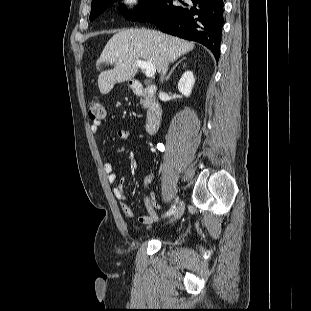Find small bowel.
<instances>
[{
  "label": "small bowel",
  "mask_w": 311,
  "mask_h": 311,
  "mask_svg": "<svg viewBox=\"0 0 311 311\" xmlns=\"http://www.w3.org/2000/svg\"><path fill=\"white\" fill-rule=\"evenodd\" d=\"M102 123L100 121H95L90 126V131L93 134H97L101 129ZM117 138L121 140H127L132 138V133L126 131V130H118L116 132ZM104 172L107 176V180L109 183H114L117 181V174L114 172L113 164L111 162H105L103 165ZM152 181V176H148L144 180V186L147 187ZM113 192L115 197L120 202V207L122 212L129 218H132L134 216L132 208L128 205L126 202V196L124 192V181L120 180L119 183L113 188ZM144 203L146 207V212L139 216L138 220L141 224L144 225H150L153 222H156L159 220V217L157 216L155 212V206L156 204L152 200L151 196L146 193L144 195Z\"/></svg>",
  "instance_id": "obj_1"
}]
</instances>
